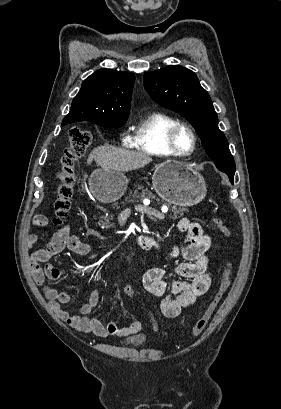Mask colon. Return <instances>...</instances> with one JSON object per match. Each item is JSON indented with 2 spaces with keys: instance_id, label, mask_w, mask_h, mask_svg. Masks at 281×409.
Returning a JSON list of instances; mask_svg holds the SVG:
<instances>
[{
  "instance_id": "1",
  "label": "colon",
  "mask_w": 281,
  "mask_h": 409,
  "mask_svg": "<svg viewBox=\"0 0 281 409\" xmlns=\"http://www.w3.org/2000/svg\"><path fill=\"white\" fill-rule=\"evenodd\" d=\"M90 142L91 135L87 130L74 128L69 131L65 152L59 161V184L57 186V196L53 201L55 211L54 223L56 225L62 224L69 215L73 187L76 182L75 161L85 153ZM214 224L224 236H230V230L221 217H215ZM231 272L232 268L228 266L213 300L208 305L204 314L191 327L190 332L192 334H200L207 327L227 292L231 280Z\"/></svg>"
}]
</instances>
